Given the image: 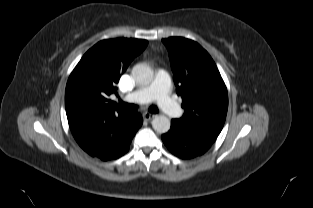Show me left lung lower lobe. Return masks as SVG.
Here are the masks:
<instances>
[{"label":"left lung lower lobe","mask_w":313,"mask_h":208,"mask_svg":"<svg viewBox=\"0 0 313 208\" xmlns=\"http://www.w3.org/2000/svg\"><path fill=\"white\" fill-rule=\"evenodd\" d=\"M216 138V135L190 131L175 119L171 120L170 130L162 135V140L167 148L174 155L183 159L204 154Z\"/></svg>","instance_id":"obj_1"}]
</instances>
